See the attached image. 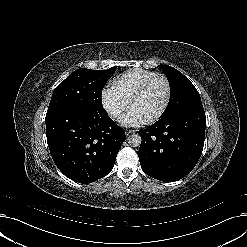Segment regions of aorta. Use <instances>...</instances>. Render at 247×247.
I'll return each instance as SVG.
<instances>
[{
	"label": "aorta",
	"mask_w": 247,
	"mask_h": 247,
	"mask_svg": "<svg viewBox=\"0 0 247 247\" xmlns=\"http://www.w3.org/2000/svg\"><path fill=\"white\" fill-rule=\"evenodd\" d=\"M128 143L133 147H138L141 143V138L138 134H133L128 138Z\"/></svg>",
	"instance_id": "762f6f07"
}]
</instances>
